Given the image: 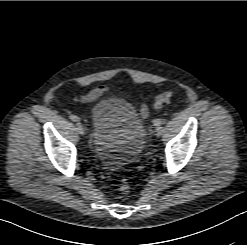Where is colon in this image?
<instances>
[{"instance_id":"obj_1","label":"colon","mask_w":247,"mask_h":245,"mask_svg":"<svg viewBox=\"0 0 247 245\" xmlns=\"http://www.w3.org/2000/svg\"><path fill=\"white\" fill-rule=\"evenodd\" d=\"M172 95H173V93L171 91H166V92H163L160 95H158L155 98V107L156 108L162 107V105L164 103H166L167 101L170 100ZM119 189H120L121 193H123V194H126V193H128L130 191V184H129V181L126 178H122L120 180Z\"/></svg>"}]
</instances>
